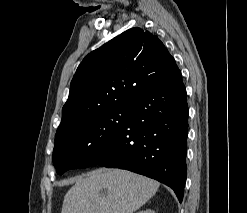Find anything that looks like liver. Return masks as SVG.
<instances>
[{
	"mask_svg": "<svg viewBox=\"0 0 247 213\" xmlns=\"http://www.w3.org/2000/svg\"><path fill=\"white\" fill-rule=\"evenodd\" d=\"M158 188L159 182L127 170H94L76 179L61 213H134Z\"/></svg>",
	"mask_w": 247,
	"mask_h": 213,
	"instance_id": "obj_1",
	"label": "liver"
}]
</instances>
